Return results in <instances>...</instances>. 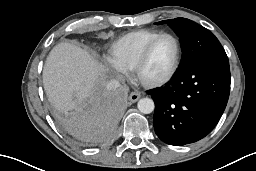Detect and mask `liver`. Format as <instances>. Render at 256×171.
<instances>
[{
  "instance_id": "1",
  "label": "liver",
  "mask_w": 256,
  "mask_h": 171,
  "mask_svg": "<svg viewBox=\"0 0 256 171\" xmlns=\"http://www.w3.org/2000/svg\"><path fill=\"white\" fill-rule=\"evenodd\" d=\"M104 71L84 49L71 43L56 45L43 69L49 101L65 114L82 110L85 101L98 99V88L106 78Z\"/></svg>"
}]
</instances>
